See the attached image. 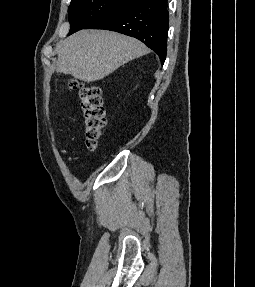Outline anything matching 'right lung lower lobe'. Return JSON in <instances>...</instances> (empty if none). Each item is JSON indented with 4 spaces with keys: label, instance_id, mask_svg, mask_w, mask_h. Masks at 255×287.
Returning a JSON list of instances; mask_svg holds the SVG:
<instances>
[{
    "label": "right lung lower lobe",
    "instance_id": "98d812e1",
    "mask_svg": "<svg viewBox=\"0 0 255 287\" xmlns=\"http://www.w3.org/2000/svg\"><path fill=\"white\" fill-rule=\"evenodd\" d=\"M168 23L167 0H129L85 29H106L135 37L152 49L163 64Z\"/></svg>",
    "mask_w": 255,
    "mask_h": 287
}]
</instances>
